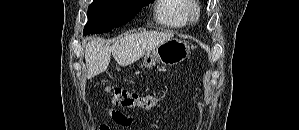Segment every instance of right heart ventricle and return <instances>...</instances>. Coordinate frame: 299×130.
Masks as SVG:
<instances>
[{
    "mask_svg": "<svg viewBox=\"0 0 299 130\" xmlns=\"http://www.w3.org/2000/svg\"><path fill=\"white\" fill-rule=\"evenodd\" d=\"M188 0H160L156 8L157 21L167 27L182 28L188 24Z\"/></svg>",
    "mask_w": 299,
    "mask_h": 130,
    "instance_id": "1",
    "label": "right heart ventricle"
}]
</instances>
